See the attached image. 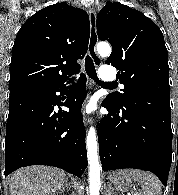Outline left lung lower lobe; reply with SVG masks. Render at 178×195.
<instances>
[{
    "label": "left lung lower lobe",
    "instance_id": "1",
    "mask_svg": "<svg viewBox=\"0 0 178 195\" xmlns=\"http://www.w3.org/2000/svg\"><path fill=\"white\" fill-rule=\"evenodd\" d=\"M102 105L109 111L98 131L103 170L136 168L153 172L167 186L172 162L171 111L129 102Z\"/></svg>",
    "mask_w": 178,
    "mask_h": 195
}]
</instances>
